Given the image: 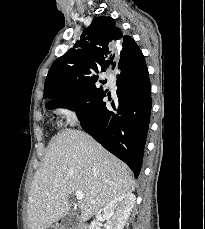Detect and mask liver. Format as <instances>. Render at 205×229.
<instances>
[{"label":"liver","mask_w":205,"mask_h":229,"mask_svg":"<svg viewBox=\"0 0 205 229\" xmlns=\"http://www.w3.org/2000/svg\"><path fill=\"white\" fill-rule=\"evenodd\" d=\"M135 180L128 166L81 130L55 135L36 171L28 197L30 229H47L65 216L76 191L81 220H88L111 200L131 193Z\"/></svg>","instance_id":"6515ba94"}]
</instances>
